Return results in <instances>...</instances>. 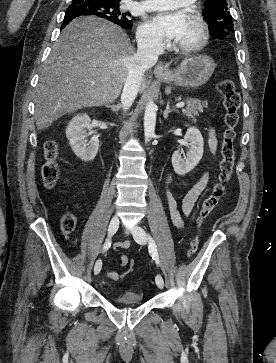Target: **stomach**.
Listing matches in <instances>:
<instances>
[{"mask_svg":"<svg viewBox=\"0 0 276 363\" xmlns=\"http://www.w3.org/2000/svg\"><path fill=\"white\" fill-rule=\"evenodd\" d=\"M215 63L208 56H193L185 58L180 65L157 77L169 85L185 88H198L204 85L212 76Z\"/></svg>","mask_w":276,"mask_h":363,"instance_id":"0dacf381","label":"stomach"}]
</instances>
